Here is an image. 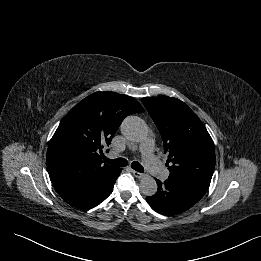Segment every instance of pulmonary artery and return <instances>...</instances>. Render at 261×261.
I'll return each instance as SVG.
<instances>
[{"mask_svg":"<svg viewBox=\"0 0 261 261\" xmlns=\"http://www.w3.org/2000/svg\"><path fill=\"white\" fill-rule=\"evenodd\" d=\"M143 162L150 173L159 178L166 179L169 172L163 167L159 159L154 153V141L146 139L140 146Z\"/></svg>","mask_w":261,"mask_h":261,"instance_id":"e3ab8cb5","label":"pulmonary artery"}]
</instances>
